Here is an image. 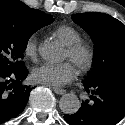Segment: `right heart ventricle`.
Segmentation results:
<instances>
[{"mask_svg": "<svg viewBox=\"0 0 125 125\" xmlns=\"http://www.w3.org/2000/svg\"><path fill=\"white\" fill-rule=\"evenodd\" d=\"M55 34L66 46L81 40V34L75 28L68 25L57 27Z\"/></svg>", "mask_w": 125, "mask_h": 125, "instance_id": "1", "label": "right heart ventricle"}]
</instances>
